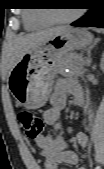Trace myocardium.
<instances>
[{"label":"myocardium","mask_w":104,"mask_h":169,"mask_svg":"<svg viewBox=\"0 0 104 169\" xmlns=\"http://www.w3.org/2000/svg\"><path fill=\"white\" fill-rule=\"evenodd\" d=\"M79 16H80L79 11H77L73 15H71L69 17H65V18H56L50 14L43 15V17L51 23H71V22L75 21L76 19H78Z\"/></svg>","instance_id":"obj_1"}]
</instances>
